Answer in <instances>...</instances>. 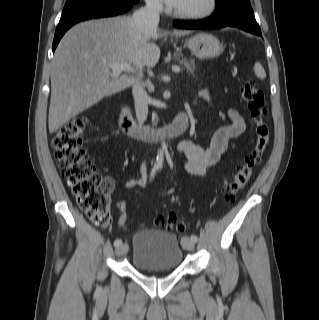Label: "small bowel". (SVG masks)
<instances>
[{
	"mask_svg": "<svg viewBox=\"0 0 319 320\" xmlns=\"http://www.w3.org/2000/svg\"><path fill=\"white\" fill-rule=\"evenodd\" d=\"M199 96L206 102L210 101V94L207 89H201ZM230 124L220 127L213 135L208 148H202L191 141H182L177 150L184 159V168L187 172L197 176L205 175L214 167L221 157L231 148L232 141L242 135L246 130V123L242 115L236 110H229ZM145 177L143 175L128 179L124 186L127 189L143 187ZM119 209L124 213L125 205L120 203Z\"/></svg>",
	"mask_w": 319,
	"mask_h": 320,
	"instance_id": "obj_1",
	"label": "small bowel"
}]
</instances>
